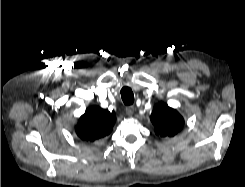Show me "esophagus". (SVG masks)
I'll return each instance as SVG.
<instances>
[{"label": "esophagus", "instance_id": "obj_1", "mask_svg": "<svg viewBox=\"0 0 245 187\" xmlns=\"http://www.w3.org/2000/svg\"><path fill=\"white\" fill-rule=\"evenodd\" d=\"M134 111H135L134 106H128V107H126V114L128 116H132L134 114Z\"/></svg>", "mask_w": 245, "mask_h": 187}]
</instances>
